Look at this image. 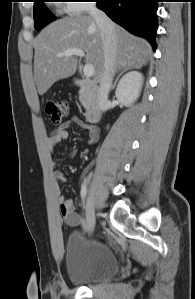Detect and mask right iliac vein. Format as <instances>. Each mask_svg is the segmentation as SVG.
Wrapping results in <instances>:
<instances>
[{
  "instance_id": "obj_1",
  "label": "right iliac vein",
  "mask_w": 195,
  "mask_h": 299,
  "mask_svg": "<svg viewBox=\"0 0 195 299\" xmlns=\"http://www.w3.org/2000/svg\"><path fill=\"white\" fill-rule=\"evenodd\" d=\"M95 227V210L93 191L90 189L86 201V229L92 232Z\"/></svg>"
}]
</instances>
